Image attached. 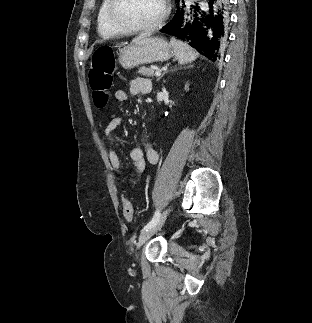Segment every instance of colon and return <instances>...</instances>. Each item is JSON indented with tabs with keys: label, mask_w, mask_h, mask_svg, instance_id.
I'll list each match as a JSON object with an SVG mask.
<instances>
[{
	"label": "colon",
	"mask_w": 312,
	"mask_h": 323,
	"mask_svg": "<svg viewBox=\"0 0 312 323\" xmlns=\"http://www.w3.org/2000/svg\"><path fill=\"white\" fill-rule=\"evenodd\" d=\"M91 61L89 81L92 89V99L96 106H104L109 100L108 90L114 84V50L110 46L99 47L93 53ZM123 205L124 217L132 219L134 207L131 200H124Z\"/></svg>",
	"instance_id": "colon-1"
}]
</instances>
